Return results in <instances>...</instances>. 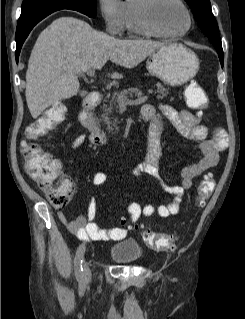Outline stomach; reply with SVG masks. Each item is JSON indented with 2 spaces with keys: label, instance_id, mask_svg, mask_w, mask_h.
Here are the masks:
<instances>
[{
  "label": "stomach",
  "instance_id": "stomach-1",
  "mask_svg": "<svg viewBox=\"0 0 245 319\" xmlns=\"http://www.w3.org/2000/svg\"><path fill=\"white\" fill-rule=\"evenodd\" d=\"M148 71L171 86L193 78L199 70L197 55L182 44H165L149 55Z\"/></svg>",
  "mask_w": 245,
  "mask_h": 319
}]
</instances>
